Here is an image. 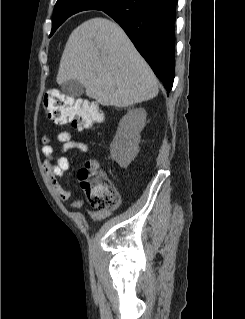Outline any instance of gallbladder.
I'll list each match as a JSON object with an SVG mask.
<instances>
[{
    "instance_id": "gallbladder-1",
    "label": "gallbladder",
    "mask_w": 245,
    "mask_h": 319,
    "mask_svg": "<svg viewBox=\"0 0 245 319\" xmlns=\"http://www.w3.org/2000/svg\"><path fill=\"white\" fill-rule=\"evenodd\" d=\"M63 93L72 98H78L84 93V86L77 80H67L61 85Z\"/></svg>"
}]
</instances>
